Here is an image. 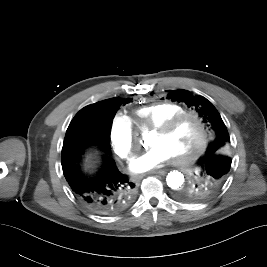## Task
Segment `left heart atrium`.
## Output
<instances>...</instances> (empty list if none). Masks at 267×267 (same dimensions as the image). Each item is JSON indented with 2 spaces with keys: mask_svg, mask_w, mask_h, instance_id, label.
Returning <instances> with one entry per match:
<instances>
[{
  "mask_svg": "<svg viewBox=\"0 0 267 267\" xmlns=\"http://www.w3.org/2000/svg\"><path fill=\"white\" fill-rule=\"evenodd\" d=\"M171 158L170 153L162 146H152L143 154L134 158L130 164L131 171L143 173L153 170Z\"/></svg>",
  "mask_w": 267,
  "mask_h": 267,
  "instance_id": "1",
  "label": "left heart atrium"
}]
</instances>
